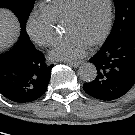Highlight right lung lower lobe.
I'll list each match as a JSON object with an SVG mask.
<instances>
[{
  "instance_id": "1",
  "label": "right lung lower lobe",
  "mask_w": 135,
  "mask_h": 135,
  "mask_svg": "<svg viewBox=\"0 0 135 135\" xmlns=\"http://www.w3.org/2000/svg\"><path fill=\"white\" fill-rule=\"evenodd\" d=\"M52 67L21 27L17 44L0 54V93L16 103L35 101L45 93Z\"/></svg>"
}]
</instances>
